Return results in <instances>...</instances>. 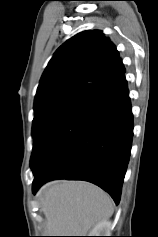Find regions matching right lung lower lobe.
<instances>
[{
  "instance_id": "obj_1",
  "label": "right lung lower lobe",
  "mask_w": 158,
  "mask_h": 237,
  "mask_svg": "<svg viewBox=\"0 0 158 237\" xmlns=\"http://www.w3.org/2000/svg\"><path fill=\"white\" fill-rule=\"evenodd\" d=\"M133 114L123 75L70 113L31 160L33 193L46 181L92 182L118 204L131 153Z\"/></svg>"
}]
</instances>
